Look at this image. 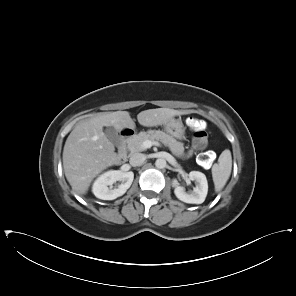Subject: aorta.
<instances>
[{"instance_id": "aorta-1", "label": "aorta", "mask_w": 296, "mask_h": 296, "mask_svg": "<svg viewBox=\"0 0 296 296\" xmlns=\"http://www.w3.org/2000/svg\"><path fill=\"white\" fill-rule=\"evenodd\" d=\"M155 166L158 169H163V168L166 167V161L164 159H157L156 162H155Z\"/></svg>"}]
</instances>
